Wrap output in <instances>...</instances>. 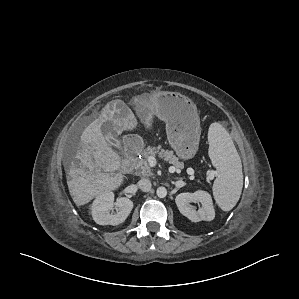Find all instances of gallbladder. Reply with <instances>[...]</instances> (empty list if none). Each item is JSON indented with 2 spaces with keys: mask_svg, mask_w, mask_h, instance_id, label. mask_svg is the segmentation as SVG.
<instances>
[{
  "mask_svg": "<svg viewBox=\"0 0 299 299\" xmlns=\"http://www.w3.org/2000/svg\"><path fill=\"white\" fill-rule=\"evenodd\" d=\"M101 132L105 137L108 138L110 146H113L114 148H118V149L121 148L120 141H118L114 137L115 131H114V126L111 122L103 123V125L101 127Z\"/></svg>",
  "mask_w": 299,
  "mask_h": 299,
  "instance_id": "1",
  "label": "gallbladder"
}]
</instances>
